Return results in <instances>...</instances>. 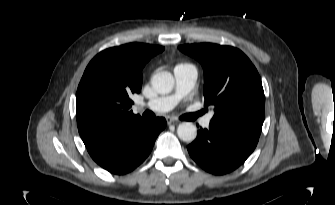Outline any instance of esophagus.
<instances>
[{
    "label": "esophagus",
    "mask_w": 335,
    "mask_h": 205,
    "mask_svg": "<svg viewBox=\"0 0 335 205\" xmlns=\"http://www.w3.org/2000/svg\"><path fill=\"white\" fill-rule=\"evenodd\" d=\"M166 121H167V124H172V123L178 122L175 118L170 117V116L166 117Z\"/></svg>",
    "instance_id": "1"
}]
</instances>
